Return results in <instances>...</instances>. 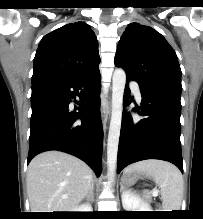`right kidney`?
I'll return each instance as SVG.
<instances>
[{"mask_svg":"<svg viewBox=\"0 0 203 219\" xmlns=\"http://www.w3.org/2000/svg\"><path fill=\"white\" fill-rule=\"evenodd\" d=\"M72 212H92V207L89 204H81L78 207H75Z\"/></svg>","mask_w":203,"mask_h":219,"instance_id":"obj_1","label":"right kidney"}]
</instances>
